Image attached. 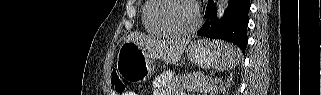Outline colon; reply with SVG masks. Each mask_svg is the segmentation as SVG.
<instances>
[{"instance_id": "colon-1", "label": "colon", "mask_w": 321, "mask_h": 95, "mask_svg": "<svg viewBox=\"0 0 321 95\" xmlns=\"http://www.w3.org/2000/svg\"><path fill=\"white\" fill-rule=\"evenodd\" d=\"M111 82L117 93L122 94L125 92V89H126L125 83L122 81L120 76L115 71L112 72L111 74Z\"/></svg>"}]
</instances>
